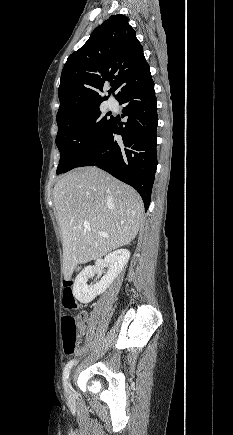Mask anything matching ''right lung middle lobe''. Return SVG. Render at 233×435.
Returning a JSON list of instances; mask_svg holds the SVG:
<instances>
[{"label":"right lung middle lobe","instance_id":"obj_1","mask_svg":"<svg viewBox=\"0 0 233 435\" xmlns=\"http://www.w3.org/2000/svg\"><path fill=\"white\" fill-rule=\"evenodd\" d=\"M113 120L102 116L99 107L57 119L56 145L60 151L57 174L77 167L106 135Z\"/></svg>","mask_w":233,"mask_h":435}]
</instances>
